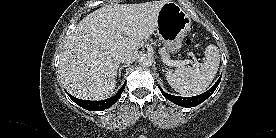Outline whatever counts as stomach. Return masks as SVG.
<instances>
[{
  "mask_svg": "<svg viewBox=\"0 0 276 138\" xmlns=\"http://www.w3.org/2000/svg\"><path fill=\"white\" fill-rule=\"evenodd\" d=\"M190 27L189 14L175 2L168 1L160 8L156 31L168 52L176 53L180 49Z\"/></svg>",
  "mask_w": 276,
  "mask_h": 138,
  "instance_id": "obj_1",
  "label": "stomach"
}]
</instances>
